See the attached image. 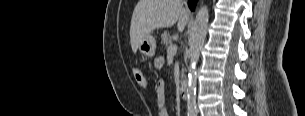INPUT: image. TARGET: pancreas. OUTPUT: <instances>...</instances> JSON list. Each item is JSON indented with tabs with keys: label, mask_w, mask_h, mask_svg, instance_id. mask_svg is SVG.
<instances>
[{
	"label": "pancreas",
	"mask_w": 305,
	"mask_h": 116,
	"mask_svg": "<svg viewBox=\"0 0 305 116\" xmlns=\"http://www.w3.org/2000/svg\"><path fill=\"white\" fill-rule=\"evenodd\" d=\"M161 43L164 44L167 47L172 44V38H171L169 33L164 32L161 35Z\"/></svg>",
	"instance_id": "pancreas-1"
}]
</instances>
